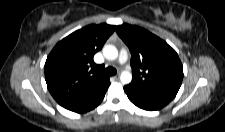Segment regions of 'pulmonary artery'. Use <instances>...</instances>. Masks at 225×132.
I'll return each mask as SVG.
<instances>
[{"label":"pulmonary artery","mask_w":225,"mask_h":132,"mask_svg":"<svg viewBox=\"0 0 225 132\" xmlns=\"http://www.w3.org/2000/svg\"><path fill=\"white\" fill-rule=\"evenodd\" d=\"M127 51L125 49H121L120 54H119V62L120 63H125L127 61Z\"/></svg>","instance_id":"1"}]
</instances>
